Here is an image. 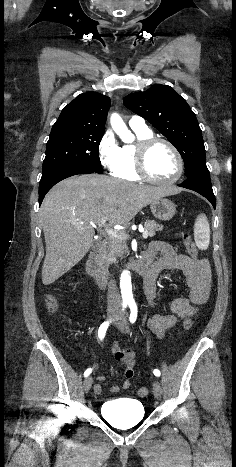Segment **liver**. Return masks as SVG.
<instances>
[{
    "mask_svg": "<svg viewBox=\"0 0 236 467\" xmlns=\"http://www.w3.org/2000/svg\"><path fill=\"white\" fill-rule=\"evenodd\" d=\"M179 191L98 174L59 182L45 196L39 212L46 243L43 284L55 282L85 256L93 243L94 227L103 218L111 225H127L154 200Z\"/></svg>",
    "mask_w": 236,
    "mask_h": 467,
    "instance_id": "liver-1",
    "label": "liver"
}]
</instances>
